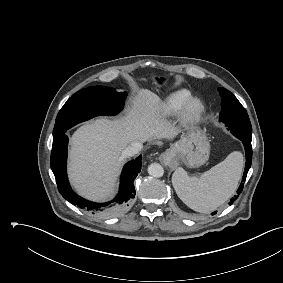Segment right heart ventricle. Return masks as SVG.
Instances as JSON below:
<instances>
[{"instance_id": "1", "label": "right heart ventricle", "mask_w": 283, "mask_h": 283, "mask_svg": "<svg viewBox=\"0 0 283 283\" xmlns=\"http://www.w3.org/2000/svg\"><path fill=\"white\" fill-rule=\"evenodd\" d=\"M190 96V91L185 89L172 92L160 102L157 108L159 116L163 118L175 116Z\"/></svg>"}]
</instances>
